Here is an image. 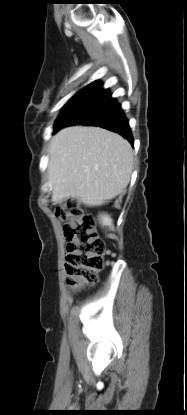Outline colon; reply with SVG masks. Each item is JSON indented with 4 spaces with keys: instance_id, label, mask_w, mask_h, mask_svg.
<instances>
[{
    "instance_id": "obj_1",
    "label": "colon",
    "mask_w": 187,
    "mask_h": 415,
    "mask_svg": "<svg viewBox=\"0 0 187 415\" xmlns=\"http://www.w3.org/2000/svg\"><path fill=\"white\" fill-rule=\"evenodd\" d=\"M67 240L65 270L72 288L94 283L104 267L105 246L95 230L94 217L75 202L58 210Z\"/></svg>"
}]
</instances>
